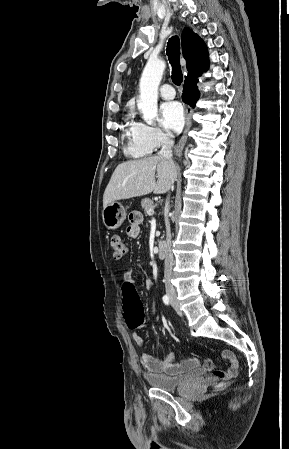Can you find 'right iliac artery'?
<instances>
[{
    "label": "right iliac artery",
    "mask_w": 289,
    "mask_h": 449,
    "mask_svg": "<svg viewBox=\"0 0 289 449\" xmlns=\"http://www.w3.org/2000/svg\"><path fill=\"white\" fill-rule=\"evenodd\" d=\"M163 302H164L166 305H169V297H168L167 295H164V296H163Z\"/></svg>",
    "instance_id": "1"
}]
</instances>
